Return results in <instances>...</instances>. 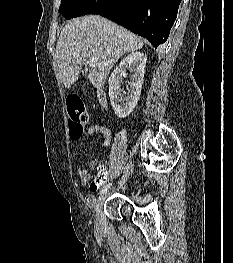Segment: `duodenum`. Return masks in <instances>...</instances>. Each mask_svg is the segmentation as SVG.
Instances as JSON below:
<instances>
[{"instance_id": "410a0bca", "label": "duodenum", "mask_w": 233, "mask_h": 263, "mask_svg": "<svg viewBox=\"0 0 233 263\" xmlns=\"http://www.w3.org/2000/svg\"><path fill=\"white\" fill-rule=\"evenodd\" d=\"M97 98L101 106H106V95L101 89L97 91Z\"/></svg>"}]
</instances>
